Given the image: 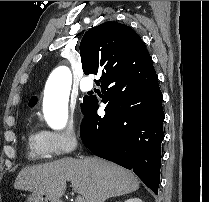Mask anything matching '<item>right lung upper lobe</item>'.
I'll return each instance as SVG.
<instances>
[{
  "instance_id": "cb5924a9",
  "label": "right lung upper lobe",
  "mask_w": 209,
  "mask_h": 202,
  "mask_svg": "<svg viewBox=\"0 0 209 202\" xmlns=\"http://www.w3.org/2000/svg\"><path fill=\"white\" fill-rule=\"evenodd\" d=\"M82 68L86 75H100L101 85L128 83L130 77L145 74L144 58L151 60L141 37L129 26L118 22H105L88 30L80 43ZM32 97L29 106L36 104Z\"/></svg>"
}]
</instances>
